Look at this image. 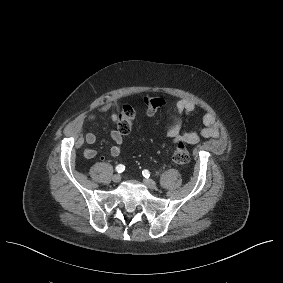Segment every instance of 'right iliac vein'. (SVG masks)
Returning <instances> with one entry per match:
<instances>
[{
    "label": "right iliac vein",
    "mask_w": 283,
    "mask_h": 283,
    "mask_svg": "<svg viewBox=\"0 0 283 283\" xmlns=\"http://www.w3.org/2000/svg\"><path fill=\"white\" fill-rule=\"evenodd\" d=\"M112 180H113L115 183H119L120 180H121V175H120V174H115V175L112 177Z\"/></svg>",
    "instance_id": "1"
}]
</instances>
